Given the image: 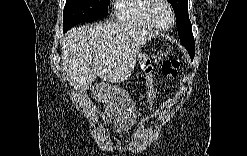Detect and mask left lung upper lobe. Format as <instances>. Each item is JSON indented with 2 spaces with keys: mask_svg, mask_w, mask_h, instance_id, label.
Returning a JSON list of instances; mask_svg holds the SVG:
<instances>
[{
  "mask_svg": "<svg viewBox=\"0 0 247 156\" xmlns=\"http://www.w3.org/2000/svg\"><path fill=\"white\" fill-rule=\"evenodd\" d=\"M169 2L175 12L181 44L188 50L190 57H194L195 42L188 16V0H169Z\"/></svg>",
  "mask_w": 247,
  "mask_h": 156,
  "instance_id": "left-lung-upper-lobe-1",
  "label": "left lung upper lobe"
}]
</instances>
